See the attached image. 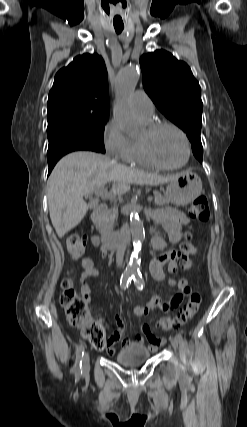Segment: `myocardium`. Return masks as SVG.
Returning a JSON list of instances; mask_svg holds the SVG:
<instances>
[{"label":"myocardium","mask_w":247,"mask_h":427,"mask_svg":"<svg viewBox=\"0 0 247 427\" xmlns=\"http://www.w3.org/2000/svg\"><path fill=\"white\" fill-rule=\"evenodd\" d=\"M165 127H169V128L174 129L183 139L184 146H185V158L178 165L170 166V165H165V164L160 163L154 157V155L151 151V147H150L151 137L157 131H159L160 129L165 128ZM145 132H146V136L139 140V144H140V147H141V150H142L144 157L152 166L160 168V169H164V170H179V169H182L183 167H185L187 165V163L189 162L190 156H191L190 141H189L187 134L184 132V130L181 129L177 124L170 122V121L152 122V123H148Z\"/></svg>","instance_id":"1"}]
</instances>
